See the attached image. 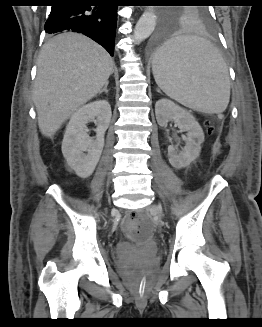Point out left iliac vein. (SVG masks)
<instances>
[{"label":"left iliac vein","mask_w":262,"mask_h":327,"mask_svg":"<svg viewBox=\"0 0 262 327\" xmlns=\"http://www.w3.org/2000/svg\"><path fill=\"white\" fill-rule=\"evenodd\" d=\"M151 209L159 216V217H162L163 216V211H162V208L158 205H153L151 207Z\"/></svg>","instance_id":"left-iliac-vein-1"}]
</instances>
